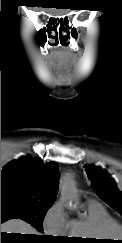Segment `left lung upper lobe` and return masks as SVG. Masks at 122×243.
Listing matches in <instances>:
<instances>
[{"label": "left lung upper lobe", "mask_w": 122, "mask_h": 243, "mask_svg": "<svg viewBox=\"0 0 122 243\" xmlns=\"http://www.w3.org/2000/svg\"><path fill=\"white\" fill-rule=\"evenodd\" d=\"M91 187L97 195L122 215V192L117 189L113 178L103 169L94 165L86 166Z\"/></svg>", "instance_id": "1"}]
</instances>
